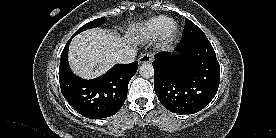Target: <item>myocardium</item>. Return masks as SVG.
<instances>
[{
  "instance_id": "obj_1",
  "label": "myocardium",
  "mask_w": 276,
  "mask_h": 138,
  "mask_svg": "<svg viewBox=\"0 0 276 138\" xmlns=\"http://www.w3.org/2000/svg\"><path fill=\"white\" fill-rule=\"evenodd\" d=\"M178 33V24L175 20L169 19L162 28L161 39L164 43L172 41Z\"/></svg>"
}]
</instances>
